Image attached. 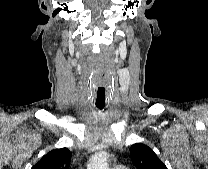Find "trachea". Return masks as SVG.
Masks as SVG:
<instances>
[{"label":"trachea","instance_id":"1","mask_svg":"<svg viewBox=\"0 0 208 169\" xmlns=\"http://www.w3.org/2000/svg\"><path fill=\"white\" fill-rule=\"evenodd\" d=\"M96 107L100 110H102L104 108V106H98V105H96Z\"/></svg>","mask_w":208,"mask_h":169}]
</instances>
